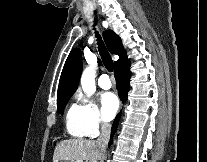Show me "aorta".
<instances>
[{"label": "aorta", "mask_w": 207, "mask_h": 162, "mask_svg": "<svg viewBox=\"0 0 207 162\" xmlns=\"http://www.w3.org/2000/svg\"><path fill=\"white\" fill-rule=\"evenodd\" d=\"M81 86L83 91L88 95L91 96L95 93V72L92 67H87L81 76Z\"/></svg>", "instance_id": "aorta-1"}]
</instances>
